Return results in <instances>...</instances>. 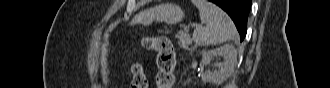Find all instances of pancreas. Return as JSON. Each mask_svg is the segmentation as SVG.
I'll return each mask as SVG.
<instances>
[{"label":"pancreas","mask_w":330,"mask_h":88,"mask_svg":"<svg viewBox=\"0 0 330 88\" xmlns=\"http://www.w3.org/2000/svg\"><path fill=\"white\" fill-rule=\"evenodd\" d=\"M176 38L178 40V45L180 48L186 50L190 49L189 47L192 45V39L188 33L179 31L178 34L176 35Z\"/></svg>","instance_id":"1"}]
</instances>
